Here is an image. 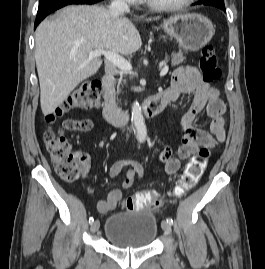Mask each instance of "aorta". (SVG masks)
I'll use <instances>...</instances> for the list:
<instances>
[{
    "label": "aorta",
    "instance_id": "obj_1",
    "mask_svg": "<svg viewBox=\"0 0 265 269\" xmlns=\"http://www.w3.org/2000/svg\"><path fill=\"white\" fill-rule=\"evenodd\" d=\"M131 122L136 129V138L140 143L145 142L147 138V128L142 114V109L138 101H135L131 110Z\"/></svg>",
    "mask_w": 265,
    "mask_h": 269
}]
</instances>
